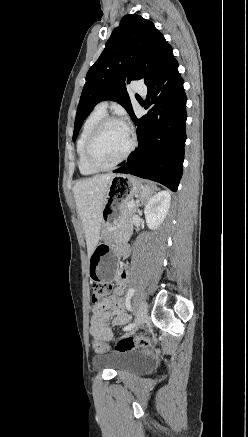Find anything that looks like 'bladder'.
I'll use <instances>...</instances> for the list:
<instances>
[{
    "instance_id": "1",
    "label": "bladder",
    "mask_w": 248,
    "mask_h": 437,
    "mask_svg": "<svg viewBox=\"0 0 248 437\" xmlns=\"http://www.w3.org/2000/svg\"><path fill=\"white\" fill-rule=\"evenodd\" d=\"M97 364H107L117 372L132 370L138 367H144L149 364L150 359L142 353L130 352L117 356H97L94 358Z\"/></svg>"
}]
</instances>
